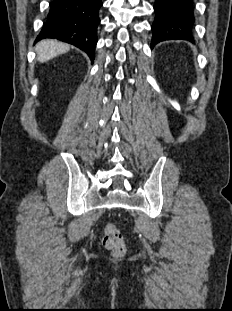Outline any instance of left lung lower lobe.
Here are the masks:
<instances>
[{
  "label": "left lung lower lobe",
  "mask_w": 232,
  "mask_h": 311,
  "mask_svg": "<svg viewBox=\"0 0 232 311\" xmlns=\"http://www.w3.org/2000/svg\"><path fill=\"white\" fill-rule=\"evenodd\" d=\"M154 11L152 47L164 40H193V0H155Z\"/></svg>",
  "instance_id": "obj_1"
}]
</instances>
